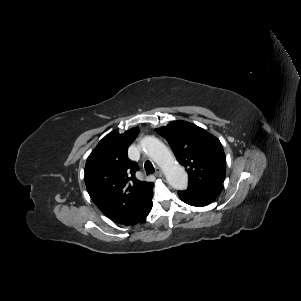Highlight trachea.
Here are the masks:
<instances>
[{
	"mask_svg": "<svg viewBox=\"0 0 301 301\" xmlns=\"http://www.w3.org/2000/svg\"><path fill=\"white\" fill-rule=\"evenodd\" d=\"M144 168H145V171H146L147 175L152 174L155 171V169H154V167H153V165L150 161H147L145 163Z\"/></svg>",
	"mask_w": 301,
	"mask_h": 301,
	"instance_id": "obj_1",
	"label": "trachea"
}]
</instances>
